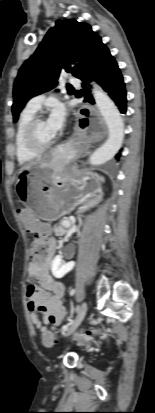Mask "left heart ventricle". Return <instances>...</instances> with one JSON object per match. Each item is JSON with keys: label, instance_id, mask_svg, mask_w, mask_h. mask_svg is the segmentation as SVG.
Segmentation results:
<instances>
[{"label": "left heart ventricle", "instance_id": "obj_1", "mask_svg": "<svg viewBox=\"0 0 155 413\" xmlns=\"http://www.w3.org/2000/svg\"><path fill=\"white\" fill-rule=\"evenodd\" d=\"M36 137L40 143H48L54 139V136L49 131L46 121L42 120L36 127Z\"/></svg>", "mask_w": 155, "mask_h": 413}]
</instances>
